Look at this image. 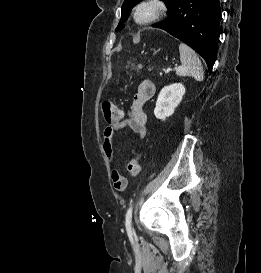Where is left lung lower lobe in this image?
Segmentation results:
<instances>
[{"label":"left lung lower lobe","mask_w":261,"mask_h":273,"mask_svg":"<svg viewBox=\"0 0 261 273\" xmlns=\"http://www.w3.org/2000/svg\"><path fill=\"white\" fill-rule=\"evenodd\" d=\"M168 18L152 25L192 47L212 71L220 24L219 0H175L168 8Z\"/></svg>","instance_id":"obj_1"}]
</instances>
